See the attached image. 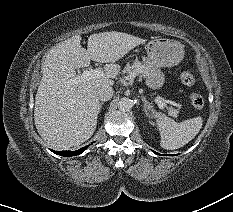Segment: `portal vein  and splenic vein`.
Returning a JSON list of instances; mask_svg holds the SVG:
<instances>
[{
    "instance_id": "obj_1",
    "label": "portal vein and splenic vein",
    "mask_w": 233,
    "mask_h": 212,
    "mask_svg": "<svg viewBox=\"0 0 233 212\" xmlns=\"http://www.w3.org/2000/svg\"><path fill=\"white\" fill-rule=\"evenodd\" d=\"M103 75V71L101 69H91V70H85L82 75L76 76L72 79H70L67 83L69 85H73V84H77L79 82H83V81H89L91 79L94 78H98L101 77ZM157 103V105L159 106L160 109H163L166 104L164 102H162L159 99H156L155 101Z\"/></svg>"
}]
</instances>
